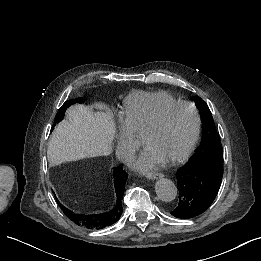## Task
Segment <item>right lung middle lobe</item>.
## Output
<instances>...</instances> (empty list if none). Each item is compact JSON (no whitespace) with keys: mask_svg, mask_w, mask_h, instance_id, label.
Returning a JSON list of instances; mask_svg holds the SVG:
<instances>
[{"mask_svg":"<svg viewBox=\"0 0 261 261\" xmlns=\"http://www.w3.org/2000/svg\"><path fill=\"white\" fill-rule=\"evenodd\" d=\"M81 102H84L83 99H77V100H70V101H66L62 107L58 110L57 114H56V117H55V120H54V126L56 123L60 122L63 117H64V114H65V111L66 109L72 105V104H75V103H81Z\"/></svg>","mask_w":261,"mask_h":261,"instance_id":"dd1d6c3e","label":"right lung middle lobe"}]
</instances>
